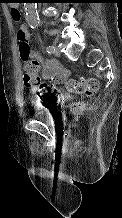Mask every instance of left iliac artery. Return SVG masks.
Wrapping results in <instances>:
<instances>
[{"mask_svg": "<svg viewBox=\"0 0 122 218\" xmlns=\"http://www.w3.org/2000/svg\"><path fill=\"white\" fill-rule=\"evenodd\" d=\"M46 52H47L48 54L53 53V46H47V47H46Z\"/></svg>", "mask_w": 122, "mask_h": 218, "instance_id": "left-iliac-artery-1", "label": "left iliac artery"}]
</instances>
